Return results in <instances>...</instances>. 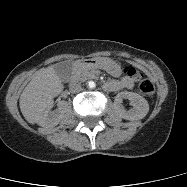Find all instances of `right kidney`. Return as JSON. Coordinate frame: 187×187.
<instances>
[{
  "label": "right kidney",
  "mask_w": 187,
  "mask_h": 187,
  "mask_svg": "<svg viewBox=\"0 0 187 187\" xmlns=\"http://www.w3.org/2000/svg\"><path fill=\"white\" fill-rule=\"evenodd\" d=\"M53 106V101L49 104V106L42 113L37 123L45 128H50L56 126L60 120L62 119L65 113V106L61 104L56 110L50 111Z\"/></svg>",
  "instance_id": "1"
}]
</instances>
